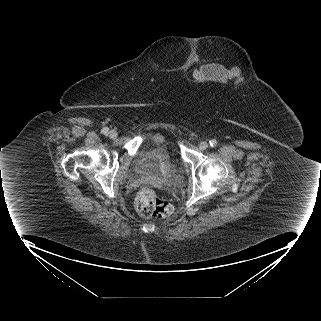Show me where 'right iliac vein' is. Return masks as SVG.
Listing matches in <instances>:
<instances>
[{
  "label": "right iliac vein",
  "mask_w": 321,
  "mask_h": 321,
  "mask_svg": "<svg viewBox=\"0 0 321 321\" xmlns=\"http://www.w3.org/2000/svg\"><path fill=\"white\" fill-rule=\"evenodd\" d=\"M108 134H109V137H110L111 139H116L117 136H118V134H117V132H116L115 130L109 131Z\"/></svg>",
  "instance_id": "obj_1"
}]
</instances>
